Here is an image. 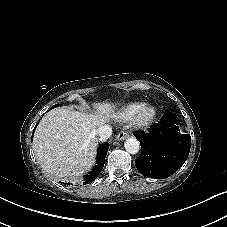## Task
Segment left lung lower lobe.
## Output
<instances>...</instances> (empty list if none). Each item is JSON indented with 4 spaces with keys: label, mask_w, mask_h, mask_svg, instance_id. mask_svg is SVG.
<instances>
[{
    "label": "left lung lower lobe",
    "mask_w": 227,
    "mask_h": 227,
    "mask_svg": "<svg viewBox=\"0 0 227 227\" xmlns=\"http://www.w3.org/2000/svg\"><path fill=\"white\" fill-rule=\"evenodd\" d=\"M148 131L134 134L142 149L135 166L144 176L167 178L186 161L190 152V134L179 132L178 117L171 112H165Z\"/></svg>",
    "instance_id": "left-lung-lower-lobe-1"
}]
</instances>
